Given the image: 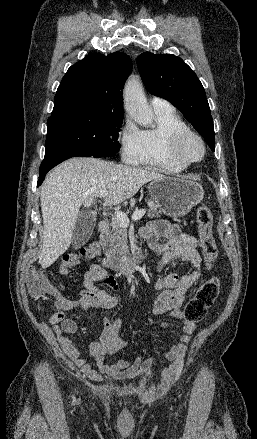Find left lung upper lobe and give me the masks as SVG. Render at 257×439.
<instances>
[{
    "mask_svg": "<svg viewBox=\"0 0 257 439\" xmlns=\"http://www.w3.org/2000/svg\"><path fill=\"white\" fill-rule=\"evenodd\" d=\"M137 65L149 93L176 105L214 151L213 120L205 90L195 72L171 54L144 52L137 57Z\"/></svg>",
    "mask_w": 257,
    "mask_h": 439,
    "instance_id": "1",
    "label": "left lung upper lobe"
}]
</instances>
